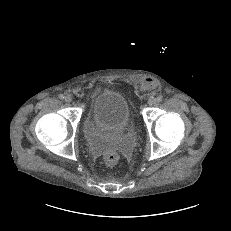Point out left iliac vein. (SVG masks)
Here are the masks:
<instances>
[{"instance_id":"1","label":"left iliac vein","mask_w":231,"mask_h":231,"mask_svg":"<svg viewBox=\"0 0 231 231\" xmlns=\"http://www.w3.org/2000/svg\"><path fill=\"white\" fill-rule=\"evenodd\" d=\"M155 104H156V99L150 98V99L148 100V105H149V106H154Z\"/></svg>"}]
</instances>
